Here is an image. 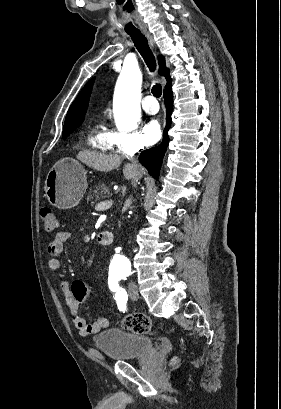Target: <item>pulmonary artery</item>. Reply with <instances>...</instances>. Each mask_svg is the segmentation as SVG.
Segmentation results:
<instances>
[{
    "label": "pulmonary artery",
    "instance_id": "e3ab8cb5",
    "mask_svg": "<svg viewBox=\"0 0 281 409\" xmlns=\"http://www.w3.org/2000/svg\"><path fill=\"white\" fill-rule=\"evenodd\" d=\"M156 97L154 94H145L142 99L143 108L148 113H156L158 111V103L155 102Z\"/></svg>",
    "mask_w": 281,
    "mask_h": 409
}]
</instances>
